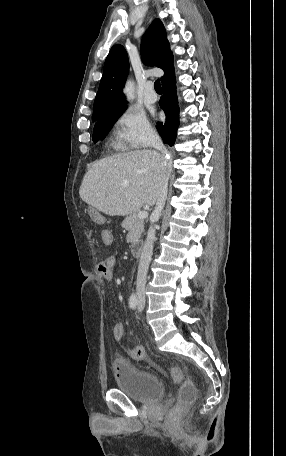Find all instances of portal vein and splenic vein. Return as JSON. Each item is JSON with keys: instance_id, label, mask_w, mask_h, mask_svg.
<instances>
[{"instance_id": "1", "label": "portal vein and splenic vein", "mask_w": 286, "mask_h": 456, "mask_svg": "<svg viewBox=\"0 0 286 456\" xmlns=\"http://www.w3.org/2000/svg\"><path fill=\"white\" fill-rule=\"evenodd\" d=\"M138 217H139L140 219H145V218L148 217V212H147V211H140V212L138 213Z\"/></svg>"}]
</instances>
